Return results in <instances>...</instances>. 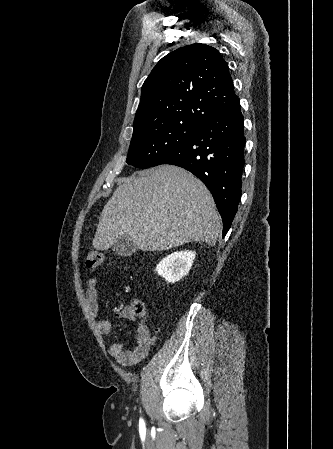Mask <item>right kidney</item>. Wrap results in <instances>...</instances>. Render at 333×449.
I'll use <instances>...</instances> for the list:
<instances>
[{
    "label": "right kidney",
    "instance_id": "obj_1",
    "mask_svg": "<svg viewBox=\"0 0 333 449\" xmlns=\"http://www.w3.org/2000/svg\"><path fill=\"white\" fill-rule=\"evenodd\" d=\"M195 260V252L185 250L169 254L157 264L156 272L168 283H175L186 276Z\"/></svg>",
    "mask_w": 333,
    "mask_h": 449
}]
</instances>
